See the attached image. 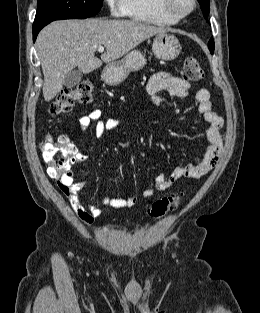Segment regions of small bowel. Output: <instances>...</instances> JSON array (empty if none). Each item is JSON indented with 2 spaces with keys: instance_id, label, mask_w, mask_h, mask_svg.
Masks as SVG:
<instances>
[{
  "instance_id": "1",
  "label": "small bowel",
  "mask_w": 260,
  "mask_h": 313,
  "mask_svg": "<svg viewBox=\"0 0 260 313\" xmlns=\"http://www.w3.org/2000/svg\"><path fill=\"white\" fill-rule=\"evenodd\" d=\"M190 84L185 79L168 73H158L153 75L147 82L146 90L150 96V103L157 107L162 102L165 95L177 98L187 97L189 94ZM199 112L202 114L208 128L206 131L208 147L200 163L187 164L176 167L172 173L167 176L160 173L155 178L154 188H146L142 192L144 198H150L155 191L164 192L168 190L179 179L186 177L200 179L209 174L217 165L224 148V137L221 132L223 126L222 118L214 112L210 101V94L206 88H200L196 92ZM102 112L100 109H92L87 114L79 117L78 124L82 130H87L89 126L96 122V134L101 137L106 131L116 129L121 120L117 118L101 119ZM82 156L77 154L75 162L80 161ZM58 187L64 194L68 203L85 224H92L94 220L103 214V207L112 209H124L135 206L138 202L136 197H122L103 199L100 206L93 204L84 205L79 198L81 184L75 181L74 173L69 171L61 177Z\"/></svg>"
}]
</instances>
